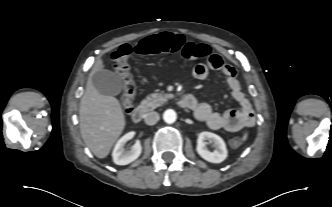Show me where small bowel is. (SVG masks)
Returning a JSON list of instances; mask_svg holds the SVG:
<instances>
[{
	"label": "small bowel",
	"mask_w": 332,
	"mask_h": 207,
	"mask_svg": "<svg viewBox=\"0 0 332 207\" xmlns=\"http://www.w3.org/2000/svg\"><path fill=\"white\" fill-rule=\"evenodd\" d=\"M219 71L226 80L233 99L237 102L239 110H228L218 113L212 110L207 103L195 102L190 109L193 110L198 121L208 125L213 130H226L236 132L245 127L253 126L255 114L250 101L245 97L237 79L236 69L217 55V59L209 58L207 63H199L193 68V75L199 80L208 77L209 71Z\"/></svg>",
	"instance_id": "c3829d8e"
}]
</instances>
